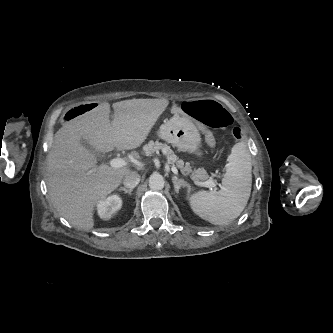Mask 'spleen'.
I'll list each match as a JSON object with an SVG mask.
<instances>
[{
    "mask_svg": "<svg viewBox=\"0 0 333 333\" xmlns=\"http://www.w3.org/2000/svg\"><path fill=\"white\" fill-rule=\"evenodd\" d=\"M251 154L245 142L236 143L228 156L219 191H198L189 198L192 211L214 225H227L247 205L252 185Z\"/></svg>",
    "mask_w": 333,
    "mask_h": 333,
    "instance_id": "spleen-1",
    "label": "spleen"
}]
</instances>
